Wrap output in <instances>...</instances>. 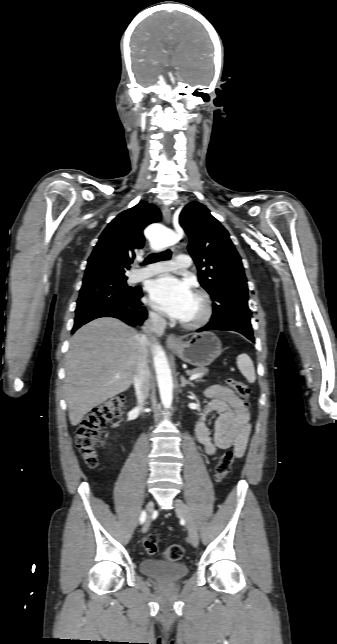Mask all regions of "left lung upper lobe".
Masks as SVG:
<instances>
[{"instance_id": "left-lung-upper-lobe-1", "label": "left lung upper lobe", "mask_w": 337, "mask_h": 644, "mask_svg": "<svg viewBox=\"0 0 337 644\" xmlns=\"http://www.w3.org/2000/svg\"><path fill=\"white\" fill-rule=\"evenodd\" d=\"M180 224L189 237L188 250L196 263L199 282L213 300L211 321L252 331L247 280L227 230L199 202L183 208Z\"/></svg>"}]
</instances>
